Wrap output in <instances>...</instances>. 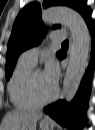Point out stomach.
I'll return each instance as SVG.
<instances>
[{"label": "stomach", "instance_id": "stomach-1", "mask_svg": "<svg viewBox=\"0 0 95 130\" xmlns=\"http://www.w3.org/2000/svg\"><path fill=\"white\" fill-rule=\"evenodd\" d=\"M40 130H53V123L44 124L43 122H41Z\"/></svg>", "mask_w": 95, "mask_h": 130}]
</instances>
